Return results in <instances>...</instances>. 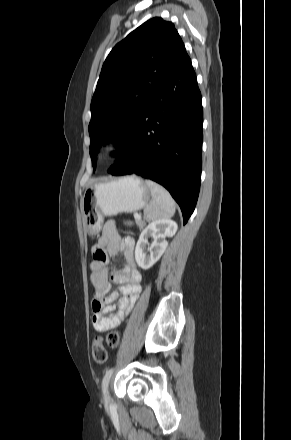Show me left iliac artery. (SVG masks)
<instances>
[{
    "label": "left iliac artery",
    "instance_id": "44dca946",
    "mask_svg": "<svg viewBox=\"0 0 291 440\" xmlns=\"http://www.w3.org/2000/svg\"><path fill=\"white\" fill-rule=\"evenodd\" d=\"M113 373V368L106 370L104 377L102 379V391L103 394L105 396V401L106 403L108 402V395H107V388H108V383L110 381L111 375Z\"/></svg>",
    "mask_w": 291,
    "mask_h": 440
}]
</instances>
